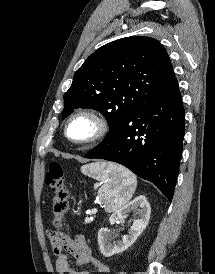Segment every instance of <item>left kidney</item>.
<instances>
[{"label": "left kidney", "mask_w": 215, "mask_h": 274, "mask_svg": "<svg viewBox=\"0 0 215 274\" xmlns=\"http://www.w3.org/2000/svg\"><path fill=\"white\" fill-rule=\"evenodd\" d=\"M140 207L141 209H138ZM131 210L136 211L138 218L133 222L130 231L127 235L117 238V235H112L107 228H101L98 232V244L101 253L105 257H110L117 253H122L135 243L140 234L148 225L151 213V207L146 197L140 195L130 203L124 205L115 211L109 221L110 224H115L118 220L126 217ZM116 238V240H115Z\"/></svg>", "instance_id": "obj_1"}]
</instances>
